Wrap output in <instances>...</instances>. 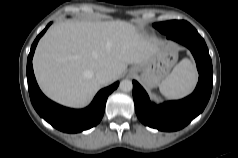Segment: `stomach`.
<instances>
[{
	"label": "stomach",
	"instance_id": "stomach-1",
	"mask_svg": "<svg viewBox=\"0 0 238 158\" xmlns=\"http://www.w3.org/2000/svg\"><path fill=\"white\" fill-rule=\"evenodd\" d=\"M178 56V49L171 43H163L145 62L133 66L131 72L140 73V81L147 88L157 87L169 74Z\"/></svg>",
	"mask_w": 238,
	"mask_h": 158
}]
</instances>
